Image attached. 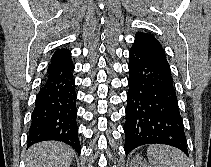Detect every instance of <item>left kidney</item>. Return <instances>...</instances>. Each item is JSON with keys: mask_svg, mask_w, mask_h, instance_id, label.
Here are the masks:
<instances>
[{"mask_svg": "<svg viewBox=\"0 0 211 167\" xmlns=\"http://www.w3.org/2000/svg\"><path fill=\"white\" fill-rule=\"evenodd\" d=\"M130 167H150V166L145 162L142 156L136 155L131 160Z\"/></svg>", "mask_w": 211, "mask_h": 167, "instance_id": "left-kidney-1", "label": "left kidney"}]
</instances>
